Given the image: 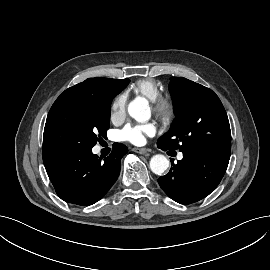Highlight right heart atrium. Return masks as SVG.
Instances as JSON below:
<instances>
[{"label":"right heart atrium","mask_w":270,"mask_h":270,"mask_svg":"<svg viewBox=\"0 0 270 270\" xmlns=\"http://www.w3.org/2000/svg\"><path fill=\"white\" fill-rule=\"evenodd\" d=\"M127 95L122 92L114 97L110 105V119L112 122H120L126 115Z\"/></svg>","instance_id":"right-heart-atrium-1"}]
</instances>
